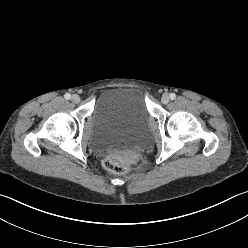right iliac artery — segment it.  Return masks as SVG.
<instances>
[{
  "label": "right iliac artery",
  "instance_id": "obj_1",
  "mask_svg": "<svg viewBox=\"0 0 248 248\" xmlns=\"http://www.w3.org/2000/svg\"><path fill=\"white\" fill-rule=\"evenodd\" d=\"M64 97H65V99L69 100V99L71 98V95H70L69 93H66V94L64 95Z\"/></svg>",
  "mask_w": 248,
  "mask_h": 248
}]
</instances>
